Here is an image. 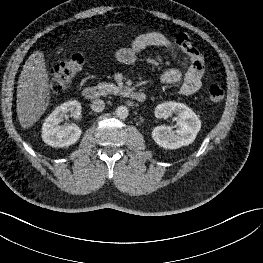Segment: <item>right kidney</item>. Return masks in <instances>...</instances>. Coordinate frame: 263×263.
Returning a JSON list of instances; mask_svg holds the SVG:
<instances>
[{"instance_id":"right-kidney-1","label":"right kidney","mask_w":263,"mask_h":263,"mask_svg":"<svg viewBox=\"0 0 263 263\" xmlns=\"http://www.w3.org/2000/svg\"><path fill=\"white\" fill-rule=\"evenodd\" d=\"M81 104L76 101H68L56 109L46 118L42 126V139L52 147H68L75 144L81 137L82 131L76 124L60 125L64 118L70 114L73 118L81 115Z\"/></svg>"}]
</instances>
